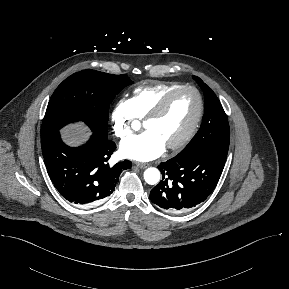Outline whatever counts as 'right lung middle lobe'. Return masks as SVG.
I'll list each match as a JSON object with an SVG mask.
<instances>
[{
	"mask_svg": "<svg viewBox=\"0 0 289 289\" xmlns=\"http://www.w3.org/2000/svg\"><path fill=\"white\" fill-rule=\"evenodd\" d=\"M133 82L124 74L83 70L65 79L54 91L42 122L41 137L83 121L94 135L107 138L108 110L114 97Z\"/></svg>",
	"mask_w": 289,
	"mask_h": 289,
	"instance_id": "obj_1",
	"label": "right lung middle lobe"
}]
</instances>
